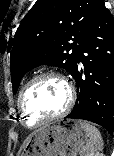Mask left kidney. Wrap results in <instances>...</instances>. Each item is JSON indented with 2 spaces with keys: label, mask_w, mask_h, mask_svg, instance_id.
Here are the masks:
<instances>
[{
  "label": "left kidney",
  "mask_w": 114,
  "mask_h": 156,
  "mask_svg": "<svg viewBox=\"0 0 114 156\" xmlns=\"http://www.w3.org/2000/svg\"><path fill=\"white\" fill-rule=\"evenodd\" d=\"M85 156H104V155L97 152V153L86 154Z\"/></svg>",
  "instance_id": "obj_1"
}]
</instances>
